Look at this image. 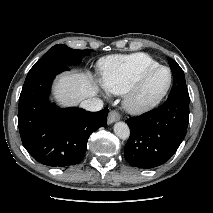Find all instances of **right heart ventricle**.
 <instances>
[{"instance_id": "1", "label": "right heart ventricle", "mask_w": 213, "mask_h": 213, "mask_svg": "<svg viewBox=\"0 0 213 213\" xmlns=\"http://www.w3.org/2000/svg\"><path fill=\"white\" fill-rule=\"evenodd\" d=\"M159 63L144 53L111 56L101 61V81L109 93L121 95L147 70Z\"/></svg>"}]
</instances>
